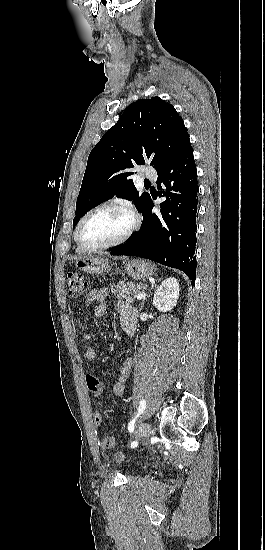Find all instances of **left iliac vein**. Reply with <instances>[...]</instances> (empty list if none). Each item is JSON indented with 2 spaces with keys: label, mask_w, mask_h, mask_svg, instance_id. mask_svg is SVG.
<instances>
[{
  "label": "left iliac vein",
  "mask_w": 265,
  "mask_h": 550,
  "mask_svg": "<svg viewBox=\"0 0 265 550\" xmlns=\"http://www.w3.org/2000/svg\"><path fill=\"white\" fill-rule=\"evenodd\" d=\"M151 434H152L151 425L149 423H143L139 431V435L141 436V438L147 439L151 436Z\"/></svg>",
  "instance_id": "4c4485c4"
}]
</instances>
